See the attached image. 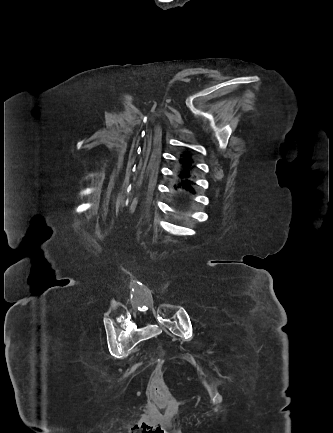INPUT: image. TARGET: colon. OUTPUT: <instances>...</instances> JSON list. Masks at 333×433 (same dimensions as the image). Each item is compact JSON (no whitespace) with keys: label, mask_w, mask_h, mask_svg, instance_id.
<instances>
[{"label":"colon","mask_w":333,"mask_h":433,"mask_svg":"<svg viewBox=\"0 0 333 433\" xmlns=\"http://www.w3.org/2000/svg\"><path fill=\"white\" fill-rule=\"evenodd\" d=\"M151 395L159 405H166L170 400L171 392L161 373L154 375L151 380Z\"/></svg>","instance_id":"5ec220e1"}]
</instances>
